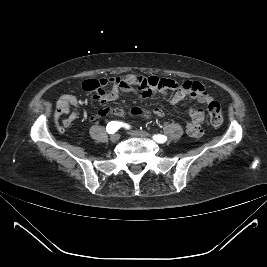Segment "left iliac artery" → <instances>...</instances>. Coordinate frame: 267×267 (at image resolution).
I'll use <instances>...</instances> for the list:
<instances>
[{
  "label": "left iliac artery",
  "mask_w": 267,
  "mask_h": 267,
  "mask_svg": "<svg viewBox=\"0 0 267 267\" xmlns=\"http://www.w3.org/2000/svg\"><path fill=\"white\" fill-rule=\"evenodd\" d=\"M153 139L158 143H164L167 140L166 136L164 135H154Z\"/></svg>",
  "instance_id": "1"
}]
</instances>
